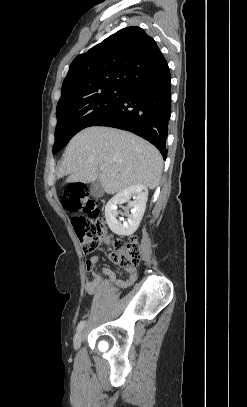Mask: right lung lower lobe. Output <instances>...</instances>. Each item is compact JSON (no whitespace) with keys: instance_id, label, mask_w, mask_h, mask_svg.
Listing matches in <instances>:
<instances>
[{"instance_id":"1","label":"right lung lower lobe","mask_w":247,"mask_h":407,"mask_svg":"<svg viewBox=\"0 0 247 407\" xmlns=\"http://www.w3.org/2000/svg\"><path fill=\"white\" fill-rule=\"evenodd\" d=\"M127 95L95 126L130 131L148 140L167 156L166 138L171 115V75L168 64L127 86Z\"/></svg>"}]
</instances>
